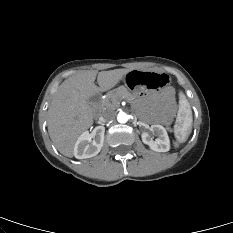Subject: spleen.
Masks as SVG:
<instances>
[{"mask_svg":"<svg viewBox=\"0 0 233 233\" xmlns=\"http://www.w3.org/2000/svg\"><path fill=\"white\" fill-rule=\"evenodd\" d=\"M192 111L188 100L180 93L179 110L174 127V133L178 141L185 142L192 126Z\"/></svg>","mask_w":233,"mask_h":233,"instance_id":"spleen-1","label":"spleen"}]
</instances>
